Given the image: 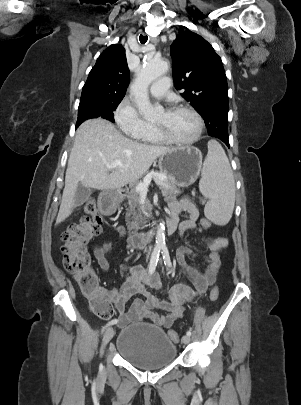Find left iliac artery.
I'll return each instance as SVG.
<instances>
[{"mask_svg": "<svg viewBox=\"0 0 301 405\" xmlns=\"http://www.w3.org/2000/svg\"><path fill=\"white\" fill-rule=\"evenodd\" d=\"M162 254H163V259H164L165 265H167L168 267H171L172 263H171V260H170L169 251H168L166 246L162 247ZM186 334L188 336H191V331H187Z\"/></svg>", "mask_w": 301, "mask_h": 405, "instance_id": "left-iliac-artery-1", "label": "left iliac artery"}]
</instances>
